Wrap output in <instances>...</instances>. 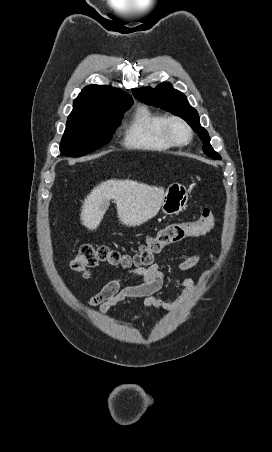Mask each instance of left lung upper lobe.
<instances>
[{"label":"left lung upper lobe","mask_w":272,"mask_h":452,"mask_svg":"<svg viewBox=\"0 0 272 452\" xmlns=\"http://www.w3.org/2000/svg\"><path fill=\"white\" fill-rule=\"evenodd\" d=\"M132 92L139 101L160 107L183 118L200 135L204 153L210 158L220 159V155L213 150L210 144L208 132L199 123V115L196 109L191 107L186 96L173 89L170 83H162L155 89L151 87L134 89Z\"/></svg>","instance_id":"obj_1"}]
</instances>
